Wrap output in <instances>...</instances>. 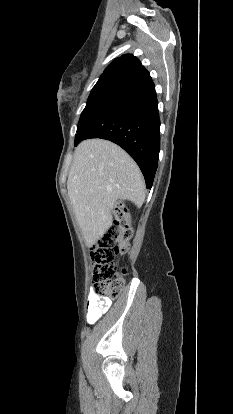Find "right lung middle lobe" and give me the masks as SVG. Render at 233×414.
<instances>
[{
  "instance_id": "obj_1",
  "label": "right lung middle lobe",
  "mask_w": 233,
  "mask_h": 414,
  "mask_svg": "<svg viewBox=\"0 0 233 414\" xmlns=\"http://www.w3.org/2000/svg\"><path fill=\"white\" fill-rule=\"evenodd\" d=\"M133 82V80L118 76H106L100 78L89 95L86 107L80 116L78 126L93 107L102 101L123 92L130 87Z\"/></svg>"
}]
</instances>
